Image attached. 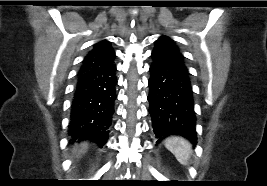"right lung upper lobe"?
I'll return each mask as SVG.
<instances>
[{
	"label": "right lung upper lobe",
	"mask_w": 267,
	"mask_h": 186,
	"mask_svg": "<svg viewBox=\"0 0 267 186\" xmlns=\"http://www.w3.org/2000/svg\"><path fill=\"white\" fill-rule=\"evenodd\" d=\"M115 52L106 40L96 43L93 49L86 55L79 71L96 68L112 62Z\"/></svg>",
	"instance_id": "right-lung-upper-lobe-1"
}]
</instances>
